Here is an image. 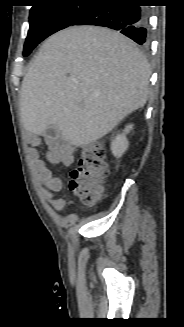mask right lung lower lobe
I'll use <instances>...</instances> for the list:
<instances>
[{"mask_svg": "<svg viewBox=\"0 0 184 327\" xmlns=\"http://www.w3.org/2000/svg\"><path fill=\"white\" fill-rule=\"evenodd\" d=\"M139 0H94L72 25H96L120 31L140 45L147 44L148 18Z\"/></svg>", "mask_w": 184, "mask_h": 327, "instance_id": "1", "label": "right lung lower lobe"}]
</instances>
